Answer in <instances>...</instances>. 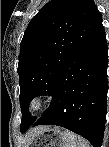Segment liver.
<instances>
[{
	"label": "liver",
	"mask_w": 109,
	"mask_h": 147,
	"mask_svg": "<svg viewBox=\"0 0 109 147\" xmlns=\"http://www.w3.org/2000/svg\"><path fill=\"white\" fill-rule=\"evenodd\" d=\"M45 128H47V127L46 126H38V127H35L33 129L29 130L28 133H27L28 138L34 136L35 134L44 130Z\"/></svg>",
	"instance_id": "liver-1"
}]
</instances>
